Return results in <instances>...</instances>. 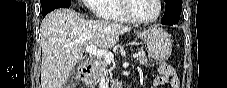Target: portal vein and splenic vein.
<instances>
[{
	"mask_svg": "<svg viewBox=\"0 0 227 88\" xmlns=\"http://www.w3.org/2000/svg\"><path fill=\"white\" fill-rule=\"evenodd\" d=\"M85 51L91 55H94L96 57L103 58L107 63H111L114 59V55L112 52L103 50V49H97L96 45H88L85 47ZM138 54H133V58H137Z\"/></svg>",
	"mask_w": 227,
	"mask_h": 88,
	"instance_id": "obj_1",
	"label": "portal vein and splenic vein"
}]
</instances>
